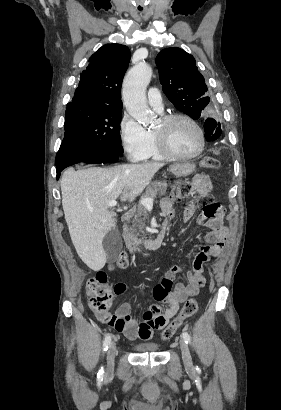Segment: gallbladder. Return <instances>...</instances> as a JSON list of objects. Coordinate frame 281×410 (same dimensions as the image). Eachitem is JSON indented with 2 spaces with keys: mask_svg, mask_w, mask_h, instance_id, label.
Segmentation results:
<instances>
[{
  "mask_svg": "<svg viewBox=\"0 0 281 410\" xmlns=\"http://www.w3.org/2000/svg\"><path fill=\"white\" fill-rule=\"evenodd\" d=\"M102 244L107 256V261L109 263L114 262L122 249V242L118 231L115 229L109 231L105 235Z\"/></svg>",
  "mask_w": 281,
  "mask_h": 410,
  "instance_id": "1",
  "label": "gallbladder"
}]
</instances>
